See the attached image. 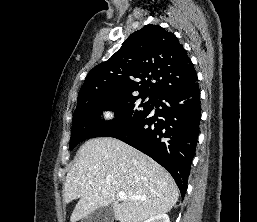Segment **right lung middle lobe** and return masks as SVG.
Here are the masks:
<instances>
[{"label": "right lung middle lobe", "mask_w": 257, "mask_h": 222, "mask_svg": "<svg viewBox=\"0 0 257 222\" xmlns=\"http://www.w3.org/2000/svg\"><path fill=\"white\" fill-rule=\"evenodd\" d=\"M147 95L98 96L77 104L73 116L70 150L83 140L94 137H112L138 122L152 109L153 97L143 102ZM142 99V101H140ZM103 110L115 112L112 121H101Z\"/></svg>", "instance_id": "obj_1"}]
</instances>
